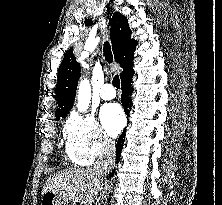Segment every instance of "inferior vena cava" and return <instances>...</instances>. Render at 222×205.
I'll use <instances>...</instances> for the list:
<instances>
[{
  "mask_svg": "<svg viewBox=\"0 0 222 205\" xmlns=\"http://www.w3.org/2000/svg\"><path fill=\"white\" fill-rule=\"evenodd\" d=\"M115 166V143L109 138L103 142V149L95 162L94 171L102 178Z\"/></svg>",
  "mask_w": 222,
  "mask_h": 205,
  "instance_id": "1",
  "label": "inferior vena cava"
}]
</instances>
